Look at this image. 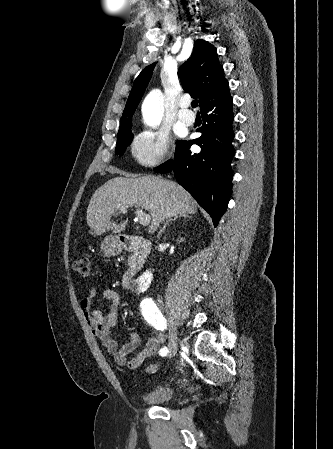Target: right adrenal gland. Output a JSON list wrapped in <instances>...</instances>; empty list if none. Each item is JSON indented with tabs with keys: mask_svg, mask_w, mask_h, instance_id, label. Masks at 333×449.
<instances>
[{
	"mask_svg": "<svg viewBox=\"0 0 333 449\" xmlns=\"http://www.w3.org/2000/svg\"><path fill=\"white\" fill-rule=\"evenodd\" d=\"M180 217H191V216H188V215H179V216H175V217L172 218V219L167 220L166 223L164 224L163 228L160 230V232H159L158 235H160L162 232H164V230H165V228L167 227V225L169 224V222L175 221L176 219H178V218H180Z\"/></svg>",
	"mask_w": 333,
	"mask_h": 449,
	"instance_id": "obj_1",
	"label": "right adrenal gland"
}]
</instances>
